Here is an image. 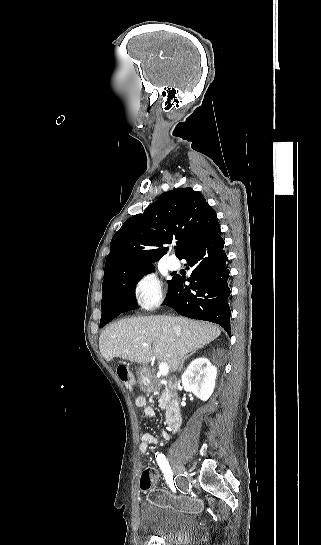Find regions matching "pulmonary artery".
I'll list each match as a JSON object with an SVG mask.
<instances>
[{
    "label": "pulmonary artery",
    "mask_w": 321,
    "mask_h": 545,
    "mask_svg": "<svg viewBox=\"0 0 321 545\" xmlns=\"http://www.w3.org/2000/svg\"><path fill=\"white\" fill-rule=\"evenodd\" d=\"M166 266L170 271H175V270H178L180 268V263L175 258H169L166 261Z\"/></svg>",
    "instance_id": "e3ab8cb5"
}]
</instances>
